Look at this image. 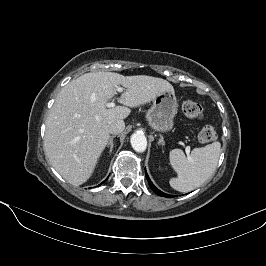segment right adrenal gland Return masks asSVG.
Wrapping results in <instances>:
<instances>
[{"label":"right adrenal gland","instance_id":"1","mask_svg":"<svg viewBox=\"0 0 266 266\" xmlns=\"http://www.w3.org/2000/svg\"><path fill=\"white\" fill-rule=\"evenodd\" d=\"M116 136H111L110 139H109V142L107 144V148H109V154H111L112 150H113V147H114V143H113V140Z\"/></svg>","mask_w":266,"mask_h":266}]
</instances>
